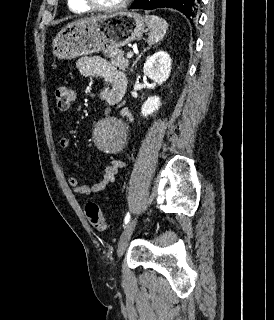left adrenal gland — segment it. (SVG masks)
Listing matches in <instances>:
<instances>
[{
    "label": "left adrenal gland",
    "mask_w": 274,
    "mask_h": 320,
    "mask_svg": "<svg viewBox=\"0 0 274 320\" xmlns=\"http://www.w3.org/2000/svg\"><path fill=\"white\" fill-rule=\"evenodd\" d=\"M150 48H151V46H150ZM150 48H145V50H143V52H146V50H150ZM155 48H156V46H155ZM141 56H142V54H140V56H138L136 62H134V64H132V68H133V66H135V64H137V62H138V60H140ZM131 72H133V70H131Z\"/></svg>",
    "instance_id": "a2214340"
}]
</instances>
